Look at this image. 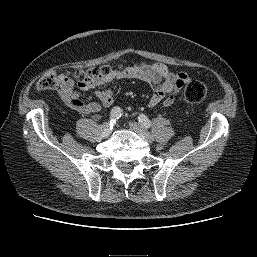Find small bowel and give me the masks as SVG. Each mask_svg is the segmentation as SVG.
<instances>
[{"label":"small bowel","instance_id":"1","mask_svg":"<svg viewBox=\"0 0 257 257\" xmlns=\"http://www.w3.org/2000/svg\"><path fill=\"white\" fill-rule=\"evenodd\" d=\"M57 93L62 101L72 110L82 114H95L101 107H110L114 102L111 85L120 80L138 79L148 84L153 93L148 105L154 107L162 104L170 107L183 86L189 82V76L183 71L174 72L161 63L134 62L128 66L111 70V72L93 84H78L64 74L58 77ZM86 92H93L99 102L85 103L81 97Z\"/></svg>","mask_w":257,"mask_h":257}]
</instances>
